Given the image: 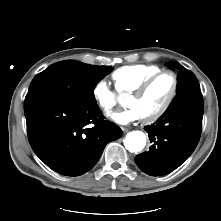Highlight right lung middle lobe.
<instances>
[{
  "instance_id": "dd1d6c3e",
  "label": "right lung middle lobe",
  "mask_w": 221,
  "mask_h": 221,
  "mask_svg": "<svg viewBox=\"0 0 221 221\" xmlns=\"http://www.w3.org/2000/svg\"><path fill=\"white\" fill-rule=\"evenodd\" d=\"M111 66H96L65 60L49 66L32 80L25 100L49 98L80 107H95L93 93Z\"/></svg>"
}]
</instances>
